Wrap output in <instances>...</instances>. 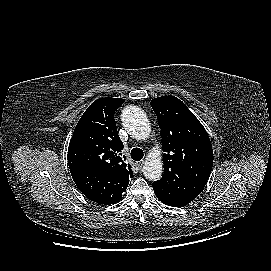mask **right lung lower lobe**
Instances as JSON below:
<instances>
[{"mask_svg":"<svg viewBox=\"0 0 271 271\" xmlns=\"http://www.w3.org/2000/svg\"><path fill=\"white\" fill-rule=\"evenodd\" d=\"M72 178L79 190L90 200L110 205L122 199L128 186L121 177L92 169H70Z\"/></svg>","mask_w":271,"mask_h":271,"instance_id":"98d812e1","label":"right lung lower lobe"}]
</instances>
